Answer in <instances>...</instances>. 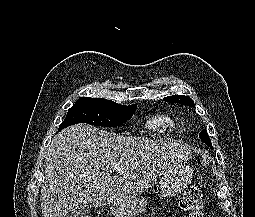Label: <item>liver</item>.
Instances as JSON below:
<instances>
[{
    "label": "liver",
    "mask_w": 255,
    "mask_h": 217,
    "mask_svg": "<svg viewBox=\"0 0 255 217\" xmlns=\"http://www.w3.org/2000/svg\"><path fill=\"white\" fill-rule=\"evenodd\" d=\"M190 158L186 144L121 137L85 124L65 128L46 151L43 217H66L80 204L101 207L134 199ZM114 164L121 171L112 176Z\"/></svg>",
    "instance_id": "liver-1"
}]
</instances>
